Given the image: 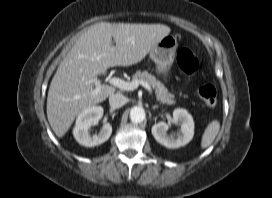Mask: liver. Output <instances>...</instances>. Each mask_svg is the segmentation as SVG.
Listing matches in <instances>:
<instances>
[{
  "instance_id": "obj_1",
  "label": "liver",
  "mask_w": 272,
  "mask_h": 198,
  "mask_svg": "<svg viewBox=\"0 0 272 198\" xmlns=\"http://www.w3.org/2000/svg\"><path fill=\"white\" fill-rule=\"evenodd\" d=\"M170 31L163 24L100 22L90 26L62 60L49 87L47 118L56 136L63 137L83 110L114 94L116 89L109 85H101L100 92L94 93L97 75L110 67L142 61Z\"/></svg>"
}]
</instances>
